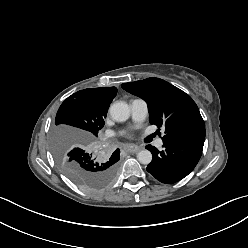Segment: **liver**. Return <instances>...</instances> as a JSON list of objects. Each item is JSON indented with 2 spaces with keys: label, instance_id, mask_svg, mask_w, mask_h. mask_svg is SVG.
I'll use <instances>...</instances> for the list:
<instances>
[{
  "label": "liver",
  "instance_id": "6515ba94",
  "mask_svg": "<svg viewBox=\"0 0 248 248\" xmlns=\"http://www.w3.org/2000/svg\"><path fill=\"white\" fill-rule=\"evenodd\" d=\"M65 131H68V132H70V133H77V134H79V135H83L84 134V132H82V131H75V130H73V129H70V128H65L64 129Z\"/></svg>",
  "mask_w": 248,
  "mask_h": 248
}]
</instances>
